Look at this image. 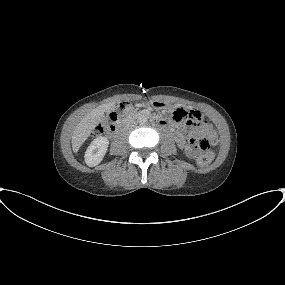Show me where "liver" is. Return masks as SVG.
Listing matches in <instances>:
<instances>
[{
  "label": "liver",
  "mask_w": 285,
  "mask_h": 285,
  "mask_svg": "<svg viewBox=\"0 0 285 285\" xmlns=\"http://www.w3.org/2000/svg\"><path fill=\"white\" fill-rule=\"evenodd\" d=\"M113 106V102L99 105L83 117V119L76 126L72 135V150L75 153L78 152L81 145L86 141V139L90 136V133L102 120L104 112Z\"/></svg>",
  "instance_id": "liver-1"
}]
</instances>
